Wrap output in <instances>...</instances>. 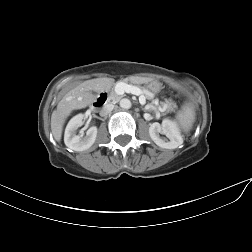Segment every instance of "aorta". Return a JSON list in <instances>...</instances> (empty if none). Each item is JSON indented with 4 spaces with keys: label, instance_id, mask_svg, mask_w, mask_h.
Listing matches in <instances>:
<instances>
[{
    "label": "aorta",
    "instance_id": "aorta-1",
    "mask_svg": "<svg viewBox=\"0 0 252 252\" xmlns=\"http://www.w3.org/2000/svg\"><path fill=\"white\" fill-rule=\"evenodd\" d=\"M119 105L123 109H130L131 106H132V103H131V101L129 99L123 98V99L120 100Z\"/></svg>",
    "mask_w": 252,
    "mask_h": 252
}]
</instances>
